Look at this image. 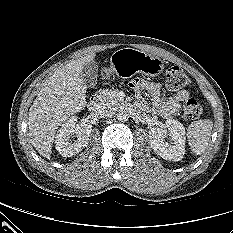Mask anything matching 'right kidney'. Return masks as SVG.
Instances as JSON below:
<instances>
[{"instance_id":"1","label":"right kidney","mask_w":233,"mask_h":233,"mask_svg":"<svg viewBox=\"0 0 233 233\" xmlns=\"http://www.w3.org/2000/svg\"><path fill=\"white\" fill-rule=\"evenodd\" d=\"M92 131L90 124H77V117L72 116L64 122L55 137L57 151L63 157H71L87 146ZM77 139H72V135Z\"/></svg>"}]
</instances>
